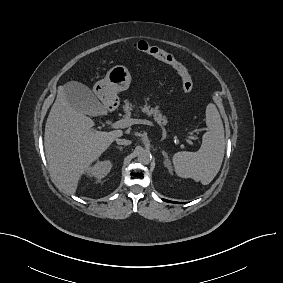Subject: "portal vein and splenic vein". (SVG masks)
<instances>
[{"label": "portal vein and splenic vein", "instance_id": "1", "mask_svg": "<svg viewBox=\"0 0 283 283\" xmlns=\"http://www.w3.org/2000/svg\"><path fill=\"white\" fill-rule=\"evenodd\" d=\"M133 124H144V125L153 126V123L146 119L124 118V119L118 120L115 123H113L112 127L113 128H126ZM163 133H166L164 129H163ZM185 140L188 144L193 145V142L191 140L187 138Z\"/></svg>", "mask_w": 283, "mask_h": 283}]
</instances>
